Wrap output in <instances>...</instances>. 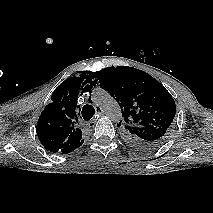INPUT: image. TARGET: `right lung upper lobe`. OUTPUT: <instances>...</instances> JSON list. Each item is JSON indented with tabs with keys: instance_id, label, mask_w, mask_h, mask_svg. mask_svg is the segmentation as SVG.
<instances>
[{
	"instance_id": "right-lung-upper-lobe-1",
	"label": "right lung upper lobe",
	"mask_w": 213,
	"mask_h": 213,
	"mask_svg": "<svg viewBox=\"0 0 213 213\" xmlns=\"http://www.w3.org/2000/svg\"><path fill=\"white\" fill-rule=\"evenodd\" d=\"M95 77H71L54 90L52 103L44 108L36 128L38 138L45 149L54 153H69L83 144L84 139L76 114L77 97L96 84L97 80L92 81Z\"/></svg>"
}]
</instances>
